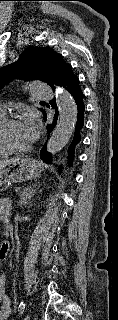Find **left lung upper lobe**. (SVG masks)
Returning a JSON list of instances; mask_svg holds the SVG:
<instances>
[{
	"label": "left lung upper lobe",
	"instance_id": "obj_1",
	"mask_svg": "<svg viewBox=\"0 0 118 320\" xmlns=\"http://www.w3.org/2000/svg\"><path fill=\"white\" fill-rule=\"evenodd\" d=\"M71 69L63 56L50 47H28L16 62L0 69V88L14 78L39 79L54 88Z\"/></svg>",
	"mask_w": 118,
	"mask_h": 320
}]
</instances>
